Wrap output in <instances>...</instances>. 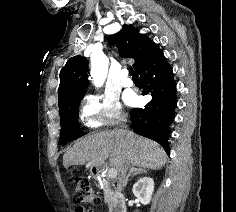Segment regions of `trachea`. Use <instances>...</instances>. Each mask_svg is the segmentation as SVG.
Wrapping results in <instances>:
<instances>
[{"label": "trachea", "mask_w": 236, "mask_h": 212, "mask_svg": "<svg viewBox=\"0 0 236 212\" xmlns=\"http://www.w3.org/2000/svg\"><path fill=\"white\" fill-rule=\"evenodd\" d=\"M129 74L132 76V78H138V76L136 75V73L132 67L129 68Z\"/></svg>", "instance_id": "1"}]
</instances>
